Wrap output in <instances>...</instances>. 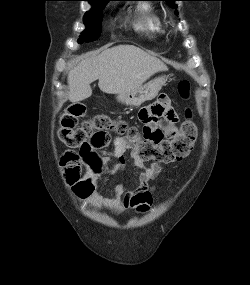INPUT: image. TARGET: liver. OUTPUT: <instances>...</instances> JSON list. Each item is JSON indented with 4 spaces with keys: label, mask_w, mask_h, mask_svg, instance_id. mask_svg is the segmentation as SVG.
<instances>
[{
    "label": "liver",
    "mask_w": 250,
    "mask_h": 285,
    "mask_svg": "<svg viewBox=\"0 0 250 285\" xmlns=\"http://www.w3.org/2000/svg\"><path fill=\"white\" fill-rule=\"evenodd\" d=\"M157 57L133 45H119L85 56L68 72L69 100L78 103L92 95L90 84L99 80L101 91L119 94L141 86L152 75L166 71Z\"/></svg>",
    "instance_id": "liver-1"
}]
</instances>
